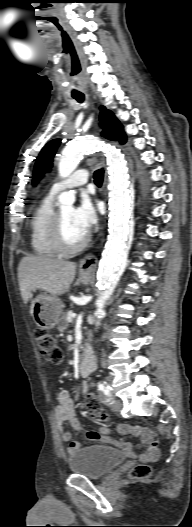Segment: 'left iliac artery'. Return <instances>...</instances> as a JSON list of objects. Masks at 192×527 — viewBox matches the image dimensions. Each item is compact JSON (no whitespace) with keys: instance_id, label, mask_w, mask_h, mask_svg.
<instances>
[{"instance_id":"obj_1","label":"left iliac artery","mask_w":192,"mask_h":527,"mask_svg":"<svg viewBox=\"0 0 192 527\" xmlns=\"http://www.w3.org/2000/svg\"><path fill=\"white\" fill-rule=\"evenodd\" d=\"M98 390L100 392H102L104 395H106L107 397H110L111 396V387L109 385H107L106 382H100L98 384ZM110 399V398H109ZM109 399H107V401H109Z\"/></svg>"}]
</instances>
